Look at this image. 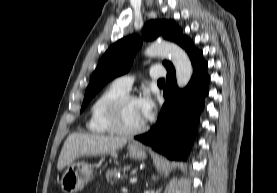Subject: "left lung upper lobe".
I'll use <instances>...</instances> for the list:
<instances>
[{
  "label": "left lung upper lobe",
  "instance_id": "left-lung-upper-lobe-1",
  "mask_svg": "<svg viewBox=\"0 0 277 193\" xmlns=\"http://www.w3.org/2000/svg\"><path fill=\"white\" fill-rule=\"evenodd\" d=\"M142 32L146 40H152L159 35H163L165 39L173 41L181 47H184L189 40L183 36L182 30L171 20L149 21L144 26ZM141 44L139 37L132 35L117 41L106 51L92 74L89 86L85 91L81 111H83L87 103L107 82L117 76L125 74L130 69L133 58L141 47ZM163 64L166 67L171 65L170 62L166 61Z\"/></svg>",
  "mask_w": 277,
  "mask_h": 193
}]
</instances>
